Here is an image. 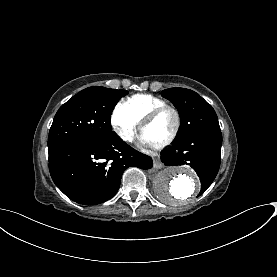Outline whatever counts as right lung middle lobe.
Segmentation results:
<instances>
[{"label":"right lung middle lobe","instance_id":"dd1d6c3e","mask_svg":"<svg viewBox=\"0 0 277 277\" xmlns=\"http://www.w3.org/2000/svg\"><path fill=\"white\" fill-rule=\"evenodd\" d=\"M127 93L126 90L93 86L73 96L54 117L48 149L115 136L110 117L119 99Z\"/></svg>","mask_w":277,"mask_h":277}]
</instances>
